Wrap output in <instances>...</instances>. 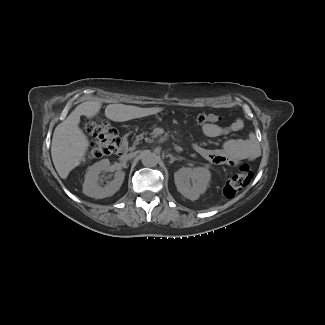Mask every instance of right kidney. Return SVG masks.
<instances>
[{"label": "right kidney", "instance_id": "obj_1", "mask_svg": "<svg viewBox=\"0 0 325 325\" xmlns=\"http://www.w3.org/2000/svg\"><path fill=\"white\" fill-rule=\"evenodd\" d=\"M110 168V161L103 159L87 171L83 184V193L89 197L101 199L114 195L121 187L125 173L123 171L116 172L114 179L107 183L104 187L98 183L99 174L101 171H108Z\"/></svg>", "mask_w": 325, "mask_h": 325}]
</instances>
